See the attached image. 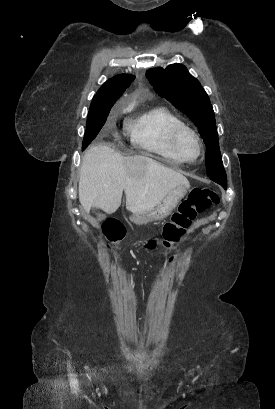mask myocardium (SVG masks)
<instances>
[{"mask_svg": "<svg viewBox=\"0 0 275 409\" xmlns=\"http://www.w3.org/2000/svg\"><path fill=\"white\" fill-rule=\"evenodd\" d=\"M184 135H189L191 136V138L194 140L195 145L197 147V153L194 157H199L201 155V142L199 140V137L197 135V133L190 127L188 126H182L178 129H176L171 137V149L173 152L174 157H180L177 153V146H178V142L179 140L184 136Z\"/></svg>", "mask_w": 275, "mask_h": 409, "instance_id": "f54148a6", "label": "myocardium"}]
</instances>
